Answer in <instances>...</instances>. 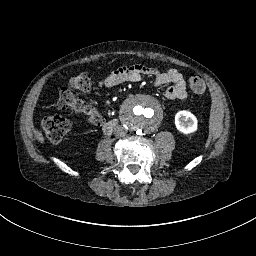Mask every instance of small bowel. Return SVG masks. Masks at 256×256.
<instances>
[{
    "label": "small bowel",
    "instance_id": "small-bowel-1",
    "mask_svg": "<svg viewBox=\"0 0 256 256\" xmlns=\"http://www.w3.org/2000/svg\"><path fill=\"white\" fill-rule=\"evenodd\" d=\"M155 77L157 86L172 84L165 91V97L169 100H185L187 98L186 77L174 68L165 71L147 67L141 64L122 66L100 80L99 85L104 88H113L125 82L138 81L141 76Z\"/></svg>",
    "mask_w": 256,
    "mask_h": 256
}]
</instances>
